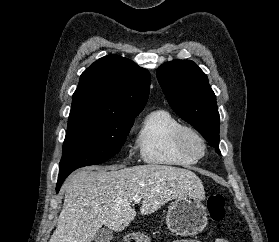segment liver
Returning a JSON list of instances; mask_svg holds the SVG:
<instances>
[{"mask_svg": "<svg viewBox=\"0 0 279 242\" xmlns=\"http://www.w3.org/2000/svg\"><path fill=\"white\" fill-rule=\"evenodd\" d=\"M63 190V209L49 242H91L103 225L113 231L124 230L136 216L134 196L142 199V215L155 212L172 199L205 197L194 172L154 164L96 171L84 168L64 182Z\"/></svg>", "mask_w": 279, "mask_h": 242, "instance_id": "liver-1", "label": "liver"}]
</instances>
